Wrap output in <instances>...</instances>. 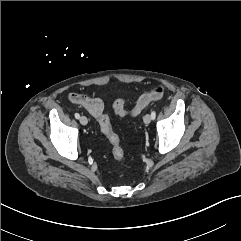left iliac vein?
Returning a JSON list of instances; mask_svg holds the SVG:
<instances>
[{"label": "left iliac vein", "mask_w": 241, "mask_h": 241, "mask_svg": "<svg viewBox=\"0 0 241 241\" xmlns=\"http://www.w3.org/2000/svg\"><path fill=\"white\" fill-rule=\"evenodd\" d=\"M151 115L150 114H146L143 118V121L145 124H149L151 122Z\"/></svg>", "instance_id": "obj_1"}]
</instances>
